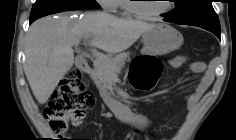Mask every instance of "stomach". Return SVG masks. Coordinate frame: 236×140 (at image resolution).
I'll return each mask as SVG.
<instances>
[{
	"label": "stomach",
	"mask_w": 236,
	"mask_h": 140,
	"mask_svg": "<svg viewBox=\"0 0 236 140\" xmlns=\"http://www.w3.org/2000/svg\"><path fill=\"white\" fill-rule=\"evenodd\" d=\"M143 55H164L175 51L183 44V36L174 27L159 23L142 35Z\"/></svg>",
	"instance_id": "1"
}]
</instances>
